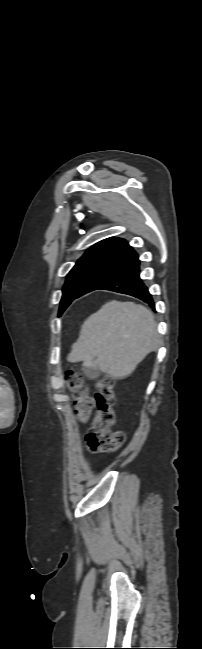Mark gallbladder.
<instances>
[{
	"mask_svg": "<svg viewBox=\"0 0 202 649\" xmlns=\"http://www.w3.org/2000/svg\"><path fill=\"white\" fill-rule=\"evenodd\" d=\"M82 370L89 379H96L100 376V370L96 367H88L83 365Z\"/></svg>",
	"mask_w": 202,
	"mask_h": 649,
	"instance_id": "bac80fb5",
	"label": "gallbladder"
}]
</instances>
